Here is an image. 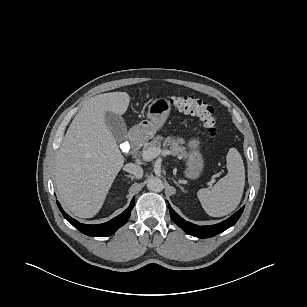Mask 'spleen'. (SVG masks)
<instances>
[{
    "label": "spleen",
    "mask_w": 307,
    "mask_h": 307,
    "mask_svg": "<svg viewBox=\"0 0 307 307\" xmlns=\"http://www.w3.org/2000/svg\"><path fill=\"white\" fill-rule=\"evenodd\" d=\"M227 169V175L210 190L200 189L197 192L203 209L212 217H222L234 211L243 195L245 168L236 148H230L227 153Z\"/></svg>",
    "instance_id": "obj_1"
}]
</instances>
